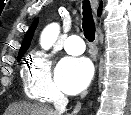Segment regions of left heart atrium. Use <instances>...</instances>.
Here are the masks:
<instances>
[{
	"mask_svg": "<svg viewBox=\"0 0 131 115\" xmlns=\"http://www.w3.org/2000/svg\"><path fill=\"white\" fill-rule=\"evenodd\" d=\"M92 65L86 58L65 57L56 69L57 85L67 94H77L89 84Z\"/></svg>",
	"mask_w": 131,
	"mask_h": 115,
	"instance_id": "39dd6f15",
	"label": "left heart atrium"
}]
</instances>
